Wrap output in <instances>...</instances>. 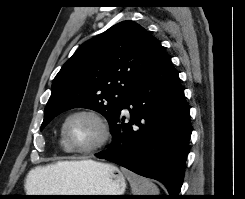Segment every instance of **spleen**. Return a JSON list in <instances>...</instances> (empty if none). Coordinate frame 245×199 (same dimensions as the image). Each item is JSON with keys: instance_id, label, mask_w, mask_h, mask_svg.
I'll return each mask as SVG.
<instances>
[{"instance_id": "spleen-1", "label": "spleen", "mask_w": 245, "mask_h": 199, "mask_svg": "<svg viewBox=\"0 0 245 199\" xmlns=\"http://www.w3.org/2000/svg\"><path fill=\"white\" fill-rule=\"evenodd\" d=\"M122 172L130 183L132 195H159L158 187L151 180L124 168Z\"/></svg>"}]
</instances>
